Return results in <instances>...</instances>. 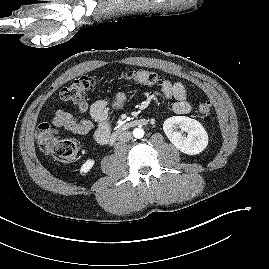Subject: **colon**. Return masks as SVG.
Listing matches in <instances>:
<instances>
[{
	"label": "colon",
	"mask_w": 269,
	"mask_h": 269,
	"mask_svg": "<svg viewBox=\"0 0 269 269\" xmlns=\"http://www.w3.org/2000/svg\"><path fill=\"white\" fill-rule=\"evenodd\" d=\"M120 78L148 86H159L164 83L161 76L147 70L128 69L120 74ZM102 81L103 79L99 77L81 76L61 90L60 99L64 102L78 103ZM196 111L200 117H209L212 112L211 102L203 101L199 103ZM37 139L41 147L56 160L69 162L77 156L78 142L74 139L59 137L56 131L47 123L39 125Z\"/></svg>",
	"instance_id": "obj_1"
}]
</instances>
